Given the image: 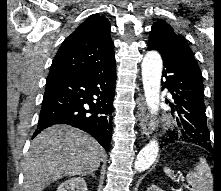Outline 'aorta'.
I'll return each instance as SVG.
<instances>
[{
    "instance_id": "aorta-1",
    "label": "aorta",
    "mask_w": 221,
    "mask_h": 191,
    "mask_svg": "<svg viewBox=\"0 0 221 191\" xmlns=\"http://www.w3.org/2000/svg\"><path fill=\"white\" fill-rule=\"evenodd\" d=\"M162 58L157 51L145 54L142 68V82L146 104L152 115H156L160 102V82L162 75ZM159 151L157 140L152 139L137 155L134 169L142 172L147 170L156 160Z\"/></svg>"
}]
</instances>
